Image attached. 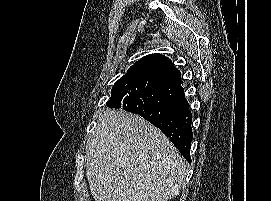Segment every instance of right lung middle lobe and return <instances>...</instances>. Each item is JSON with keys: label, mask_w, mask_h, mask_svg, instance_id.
<instances>
[{"label": "right lung middle lobe", "mask_w": 271, "mask_h": 201, "mask_svg": "<svg viewBox=\"0 0 271 201\" xmlns=\"http://www.w3.org/2000/svg\"><path fill=\"white\" fill-rule=\"evenodd\" d=\"M150 78L151 73L149 71L128 72L114 84L107 106L120 108L122 101L126 97L140 94L145 89Z\"/></svg>", "instance_id": "1"}]
</instances>
